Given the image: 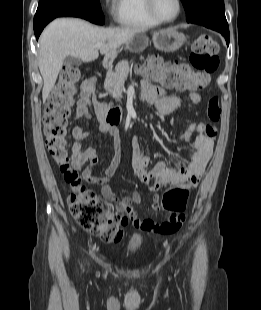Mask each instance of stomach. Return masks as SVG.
<instances>
[{"label":"stomach","instance_id":"1","mask_svg":"<svg viewBox=\"0 0 261 310\" xmlns=\"http://www.w3.org/2000/svg\"><path fill=\"white\" fill-rule=\"evenodd\" d=\"M153 45L156 49L173 52L179 49L186 41L185 35L174 28H168L153 34ZM148 45V38L145 34H136L126 43V49L131 52H141Z\"/></svg>","mask_w":261,"mask_h":310}]
</instances>
